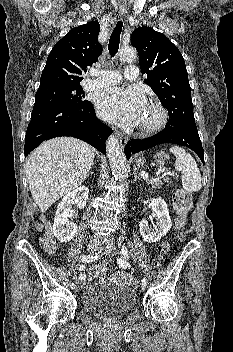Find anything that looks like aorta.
I'll list each match as a JSON object with an SVG mask.
<instances>
[{
    "label": "aorta",
    "instance_id": "762f6f07",
    "mask_svg": "<svg viewBox=\"0 0 233 352\" xmlns=\"http://www.w3.org/2000/svg\"><path fill=\"white\" fill-rule=\"evenodd\" d=\"M119 57L123 61H133L137 57L134 48H121ZM107 156L115 180H122L127 171V160L118 139L111 135L106 141Z\"/></svg>",
    "mask_w": 233,
    "mask_h": 352
}]
</instances>
